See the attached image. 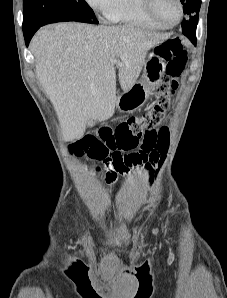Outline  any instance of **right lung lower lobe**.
Masks as SVG:
<instances>
[{
    "mask_svg": "<svg viewBox=\"0 0 227 298\" xmlns=\"http://www.w3.org/2000/svg\"><path fill=\"white\" fill-rule=\"evenodd\" d=\"M40 27H37L31 31H28V32H25L24 33V38H25V43H26V46H28L32 36L34 35V33L39 29Z\"/></svg>",
    "mask_w": 227,
    "mask_h": 298,
    "instance_id": "right-lung-lower-lobe-1",
    "label": "right lung lower lobe"
}]
</instances>
